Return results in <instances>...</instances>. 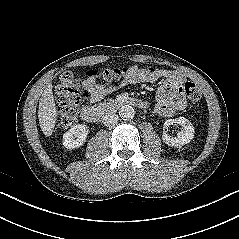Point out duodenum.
<instances>
[{"instance_id": "1", "label": "duodenum", "mask_w": 239, "mask_h": 239, "mask_svg": "<svg viewBox=\"0 0 239 239\" xmlns=\"http://www.w3.org/2000/svg\"><path fill=\"white\" fill-rule=\"evenodd\" d=\"M124 106H133L138 109H145L147 108V103L144 100L130 97L108 99L102 102L97 107L85 106L81 111V118L85 122L95 123L98 122L100 118L106 113Z\"/></svg>"}]
</instances>
